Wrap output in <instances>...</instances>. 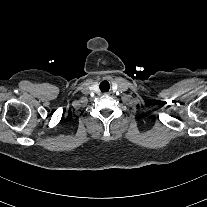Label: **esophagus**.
<instances>
[{"mask_svg": "<svg viewBox=\"0 0 207 207\" xmlns=\"http://www.w3.org/2000/svg\"><path fill=\"white\" fill-rule=\"evenodd\" d=\"M104 95L109 96L111 95V92H105Z\"/></svg>", "mask_w": 207, "mask_h": 207, "instance_id": "1", "label": "esophagus"}]
</instances>
